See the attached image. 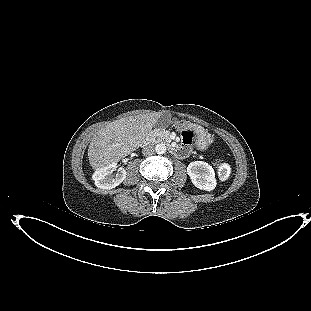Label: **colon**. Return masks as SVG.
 I'll list each match as a JSON object with an SVG mask.
<instances>
[{
	"label": "colon",
	"mask_w": 311,
	"mask_h": 311,
	"mask_svg": "<svg viewBox=\"0 0 311 311\" xmlns=\"http://www.w3.org/2000/svg\"><path fill=\"white\" fill-rule=\"evenodd\" d=\"M191 138H192L191 133L186 132L184 134V139L186 142H189L191 140ZM230 173H231V170H230V167L227 163L221 162L218 164L217 175L221 181L226 180L230 176Z\"/></svg>",
	"instance_id": "obj_1"
}]
</instances>
